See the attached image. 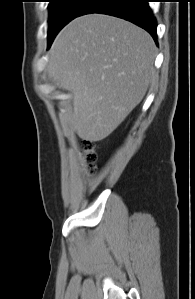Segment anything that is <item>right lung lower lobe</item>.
<instances>
[{
    "mask_svg": "<svg viewBox=\"0 0 195 299\" xmlns=\"http://www.w3.org/2000/svg\"><path fill=\"white\" fill-rule=\"evenodd\" d=\"M102 13L130 21L151 34L156 41V19L148 0H91L78 16Z\"/></svg>",
    "mask_w": 195,
    "mask_h": 299,
    "instance_id": "98d812e1",
    "label": "right lung lower lobe"
}]
</instances>
